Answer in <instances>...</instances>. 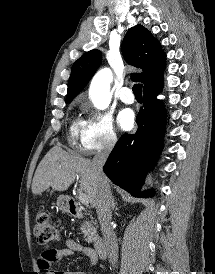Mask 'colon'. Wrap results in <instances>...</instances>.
Listing matches in <instances>:
<instances>
[{
    "mask_svg": "<svg viewBox=\"0 0 215 274\" xmlns=\"http://www.w3.org/2000/svg\"><path fill=\"white\" fill-rule=\"evenodd\" d=\"M34 233L38 242L45 249H53V244L59 239L58 231L52 224L46 211H41L37 215Z\"/></svg>",
    "mask_w": 215,
    "mask_h": 274,
    "instance_id": "1",
    "label": "colon"
}]
</instances>
